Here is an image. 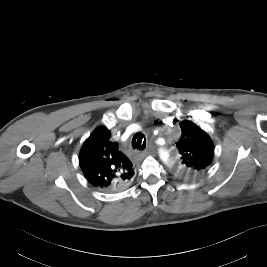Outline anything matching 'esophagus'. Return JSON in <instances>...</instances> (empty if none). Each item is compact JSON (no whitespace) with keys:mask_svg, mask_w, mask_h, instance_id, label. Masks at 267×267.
Listing matches in <instances>:
<instances>
[{"mask_svg":"<svg viewBox=\"0 0 267 267\" xmlns=\"http://www.w3.org/2000/svg\"><path fill=\"white\" fill-rule=\"evenodd\" d=\"M146 155H147V152H146V151H143V152L140 153V156H141V157H144V156H146Z\"/></svg>","mask_w":267,"mask_h":267,"instance_id":"1","label":"esophagus"}]
</instances>
